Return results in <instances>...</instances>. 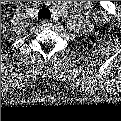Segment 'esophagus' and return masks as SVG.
<instances>
[{"label":"esophagus","instance_id":"34e87169","mask_svg":"<svg viewBox=\"0 0 121 121\" xmlns=\"http://www.w3.org/2000/svg\"><path fill=\"white\" fill-rule=\"evenodd\" d=\"M41 24H42V26H44L45 28L51 26V22H50L49 20H47V19L42 20V21H41Z\"/></svg>","mask_w":121,"mask_h":121}]
</instances>
